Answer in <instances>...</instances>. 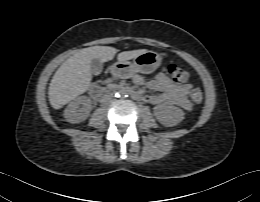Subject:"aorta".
<instances>
[{
	"instance_id": "762f6f07",
	"label": "aorta",
	"mask_w": 260,
	"mask_h": 202,
	"mask_svg": "<svg viewBox=\"0 0 260 202\" xmlns=\"http://www.w3.org/2000/svg\"><path fill=\"white\" fill-rule=\"evenodd\" d=\"M117 95H118L119 97H120V96L125 97V96H127V93H126L124 90H121V91L118 92Z\"/></svg>"
}]
</instances>
